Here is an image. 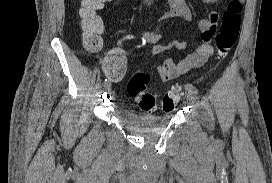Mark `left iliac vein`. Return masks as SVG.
Here are the masks:
<instances>
[{
    "mask_svg": "<svg viewBox=\"0 0 272 183\" xmlns=\"http://www.w3.org/2000/svg\"><path fill=\"white\" fill-rule=\"evenodd\" d=\"M187 99L193 104L197 102V97L191 93L187 94Z\"/></svg>",
    "mask_w": 272,
    "mask_h": 183,
    "instance_id": "1",
    "label": "left iliac vein"
}]
</instances>
